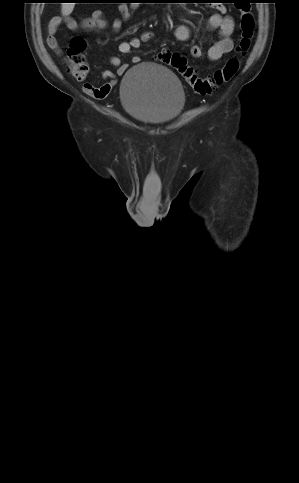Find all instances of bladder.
Here are the masks:
<instances>
[{
  "instance_id": "obj_1",
  "label": "bladder",
  "mask_w": 299,
  "mask_h": 483,
  "mask_svg": "<svg viewBox=\"0 0 299 483\" xmlns=\"http://www.w3.org/2000/svg\"><path fill=\"white\" fill-rule=\"evenodd\" d=\"M120 100L132 117L151 125L172 122L185 106V94L177 76L150 62L127 70L120 83Z\"/></svg>"
}]
</instances>
